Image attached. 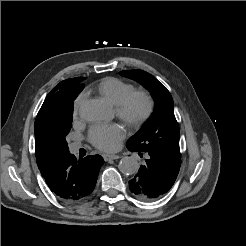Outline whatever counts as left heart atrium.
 <instances>
[{"instance_id": "39dd6f15", "label": "left heart atrium", "mask_w": 246, "mask_h": 246, "mask_svg": "<svg viewBox=\"0 0 246 246\" xmlns=\"http://www.w3.org/2000/svg\"><path fill=\"white\" fill-rule=\"evenodd\" d=\"M88 137L96 148L112 152L125 137V128L119 123H99L91 127Z\"/></svg>"}]
</instances>
